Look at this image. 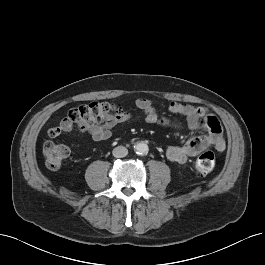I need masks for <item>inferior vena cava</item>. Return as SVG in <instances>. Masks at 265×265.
Returning a JSON list of instances; mask_svg holds the SVG:
<instances>
[{"label": "inferior vena cava", "mask_w": 265, "mask_h": 265, "mask_svg": "<svg viewBox=\"0 0 265 265\" xmlns=\"http://www.w3.org/2000/svg\"><path fill=\"white\" fill-rule=\"evenodd\" d=\"M113 156L116 158H122L125 157L128 154V150L124 146H117L112 151Z\"/></svg>", "instance_id": "obj_1"}]
</instances>
